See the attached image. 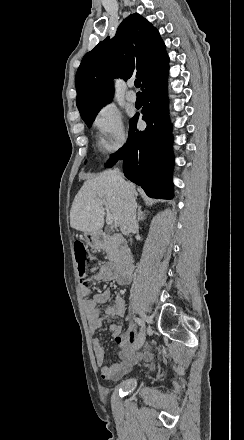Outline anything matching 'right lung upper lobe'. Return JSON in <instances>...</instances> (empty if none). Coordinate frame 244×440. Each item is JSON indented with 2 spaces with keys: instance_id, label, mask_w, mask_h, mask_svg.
I'll return each mask as SVG.
<instances>
[{
  "instance_id": "right-lung-upper-lobe-1",
  "label": "right lung upper lobe",
  "mask_w": 244,
  "mask_h": 440,
  "mask_svg": "<svg viewBox=\"0 0 244 440\" xmlns=\"http://www.w3.org/2000/svg\"><path fill=\"white\" fill-rule=\"evenodd\" d=\"M167 63L165 44L157 29L138 13L130 14L112 39L107 37L83 57L75 78L79 111L112 100L115 77L127 80L136 76L143 84Z\"/></svg>"
}]
</instances>
